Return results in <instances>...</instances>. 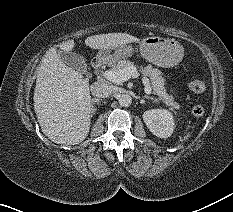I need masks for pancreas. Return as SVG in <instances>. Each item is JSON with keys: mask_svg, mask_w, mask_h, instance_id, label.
Here are the masks:
<instances>
[{"mask_svg": "<svg viewBox=\"0 0 233 212\" xmlns=\"http://www.w3.org/2000/svg\"><path fill=\"white\" fill-rule=\"evenodd\" d=\"M127 67H134V64L131 61L124 59L118 61V63L114 65L111 70H121ZM139 70L144 76L150 77L151 88L153 90V93L159 97V100H161L167 106H170L171 109L180 108L179 104L174 101L173 96L169 95L166 92V89L164 87L165 79L162 77L160 70H158L157 68H153L151 65H148L146 67L140 66Z\"/></svg>", "mask_w": 233, "mask_h": 212, "instance_id": "pancreas-1", "label": "pancreas"}]
</instances>
